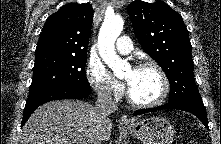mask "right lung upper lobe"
I'll return each instance as SVG.
<instances>
[{"mask_svg": "<svg viewBox=\"0 0 221 144\" xmlns=\"http://www.w3.org/2000/svg\"><path fill=\"white\" fill-rule=\"evenodd\" d=\"M93 20L89 3H70L49 16L40 34L35 54H87Z\"/></svg>", "mask_w": 221, "mask_h": 144, "instance_id": "cb5924a9", "label": "right lung upper lobe"}]
</instances>
